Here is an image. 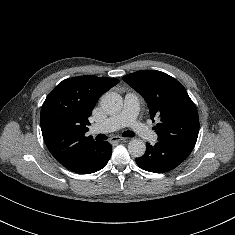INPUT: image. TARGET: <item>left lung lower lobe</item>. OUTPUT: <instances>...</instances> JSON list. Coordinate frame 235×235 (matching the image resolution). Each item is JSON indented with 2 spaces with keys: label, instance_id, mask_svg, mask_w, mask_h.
I'll return each instance as SVG.
<instances>
[{
  "label": "left lung lower lobe",
  "instance_id": "left-lung-lower-lobe-1",
  "mask_svg": "<svg viewBox=\"0 0 235 235\" xmlns=\"http://www.w3.org/2000/svg\"><path fill=\"white\" fill-rule=\"evenodd\" d=\"M191 151V148L175 143L158 141L154 146L147 143L146 153L136 158V163L143 170L164 173L181 164Z\"/></svg>",
  "mask_w": 235,
  "mask_h": 235
}]
</instances>
